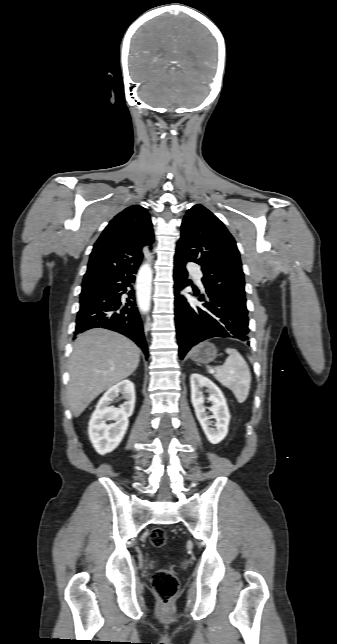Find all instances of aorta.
Returning a JSON list of instances; mask_svg holds the SVG:
<instances>
[{"label":"aorta","mask_w":337,"mask_h":644,"mask_svg":"<svg viewBox=\"0 0 337 644\" xmlns=\"http://www.w3.org/2000/svg\"><path fill=\"white\" fill-rule=\"evenodd\" d=\"M151 280V269L149 265H145L139 272L136 286L139 307L143 312H147L150 308Z\"/></svg>","instance_id":"obj_1"}]
</instances>
